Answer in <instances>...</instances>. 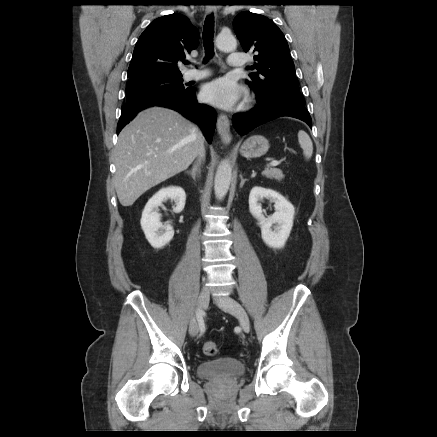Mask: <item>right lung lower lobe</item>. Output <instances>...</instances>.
Here are the masks:
<instances>
[{"label":"right lung lower lobe","mask_w":437,"mask_h":437,"mask_svg":"<svg viewBox=\"0 0 437 437\" xmlns=\"http://www.w3.org/2000/svg\"><path fill=\"white\" fill-rule=\"evenodd\" d=\"M154 105L174 109L186 118L198 123L207 141L212 142L216 124L215 111L212 107L197 102L193 88L185 89L182 92H160L126 100V103L121 107L117 134L139 111Z\"/></svg>","instance_id":"98d812e1"}]
</instances>
